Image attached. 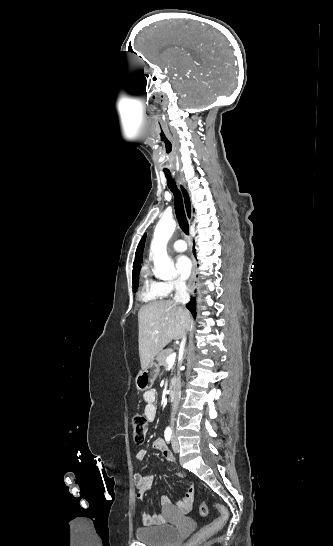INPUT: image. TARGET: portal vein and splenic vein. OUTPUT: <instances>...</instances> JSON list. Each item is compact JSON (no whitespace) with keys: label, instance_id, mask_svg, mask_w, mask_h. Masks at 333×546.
I'll return each mask as SVG.
<instances>
[{"label":"portal vein and splenic vein","instance_id":"18ae733b","mask_svg":"<svg viewBox=\"0 0 333 546\" xmlns=\"http://www.w3.org/2000/svg\"><path fill=\"white\" fill-rule=\"evenodd\" d=\"M175 359H176V353L173 352V353H171V354L167 357L166 362H167L168 364H171V365H172V364H174Z\"/></svg>","mask_w":333,"mask_h":546}]
</instances>
